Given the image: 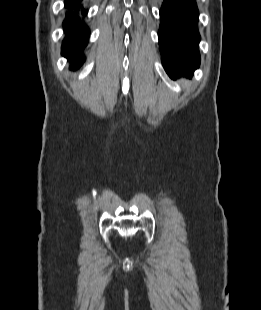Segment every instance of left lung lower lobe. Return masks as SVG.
Listing matches in <instances>:
<instances>
[{"mask_svg":"<svg viewBox=\"0 0 261 310\" xmlns=\"http://www.w3.org/2000/svg\"><path fill=\"white\" fill-rule=\"evenodd\" d=\"M196 0H164L158 33L162 64L171 78L191 77L200 64Z\"/></svg>","mask_w":261,"mask_h":310,"instance_id":"obj_1","label":"left lung lower lobe"}]
</instances>
